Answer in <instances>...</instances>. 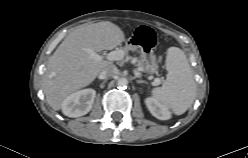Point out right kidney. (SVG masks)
Listing matches in <instances>:
<instances>
[{
  "label": "right kidney",
  "instance_id": "ca27d5eb",
  "mask_svg": "<svg viewBox=\"0 0 248 158\" xmlns=\"http://www.w3.org/2000/svg\"><path fill=\"white\" fill-rule=\"evenodd\" d=\"M96 97V91L88 88L69 95L62 103L64 115L72 118L86 115L91 109Z\"/></svg>",
  "mask_w": 248,
  "mask_h": 158
}]
</instances>
